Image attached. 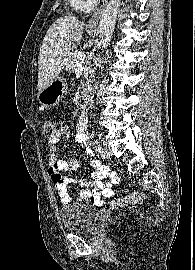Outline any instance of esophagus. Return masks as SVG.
<instances>
[{
	"instance_id": "1",
	"label": "esophagus",
	"mask_w": 195,
	"mask_h": 270,
	"mask_svg": "<svg viewBox=\"0 0 195 270\" xmlns=\"http://www.w3.org/2000/svg\"><path fill=\"white\" fill-rule=\"evenodd\" d=\"M108 3V0H103V3L101 6L97 9V11L92 15V17L89 19L87 22V27L88 28H96L98 25V22L101 18L102 13L104 12V9Z\"/></svg>"
}]
</instances>
